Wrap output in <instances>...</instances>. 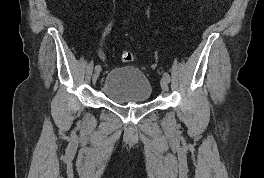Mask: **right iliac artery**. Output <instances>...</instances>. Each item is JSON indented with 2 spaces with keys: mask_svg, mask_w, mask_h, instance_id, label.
Masks as SVG:
<instances>
[{
  "mask_svg": "<svg viewBox=\"0 0 264 178\" xmlns=\"http://www.w3.org/2000/svg\"><path fill=\"white\" fill-rule=\"evenodd\" d=\"M95 71H99L100 72L101 71V66L100 65H96L95 66Z\"/></svg>",
  "mask_w": 264,
  "mask_h": 178,
  "instance_id": "82829eb1",
  "label": "right iliac artery"
}]
</instances>
